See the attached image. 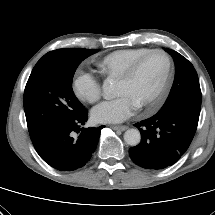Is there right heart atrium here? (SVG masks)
I'll return each mask as SVG.
<instances>
[{"mask_svg":"<svg viewBox=\"0 0 215 215\" xmlns=\"http://www.w3.org/2000/svg\"><path fill=\"white\" fill-rule=\"evenodd\" d=\"M73 91L81 101L94 103L101 96V85L93 74L78 71L73 79Z\"/></svg>","mask_w":215,"mask_h":215,"instance_id":"d8ad5b80","label":"right heart atrium"}]
</instances>
